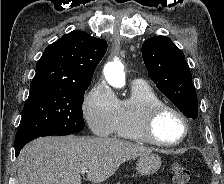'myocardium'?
<instances>
[{
  "mask_svg": "<svg viewBox=\"0 0 224 184\" xmlns=\"http://www.w3.org/2000/svg\"><path fill=\"white\" fill-rule=\"evenodd\" d=\"M174 114L183 124V134L175 141L166 142L159 139L155 133V125L160 116L164 113ZM140 132L144 140L150 144L160 147H174L181 144L189 134V123L186 116L177 108L164 102L150 105L144 112L140 120Z\"/></svg>",
  "mask_w": 224,
  "mask_h": 184,
  "instance_id": "1",
  "label": "myocardium"
}]
</instances>
